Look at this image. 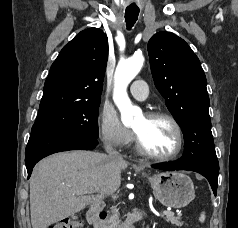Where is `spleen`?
I'll use <instances>...</instances> for the list:
<instances>
[{"instance_id": "1", "label": "spleen", "mask_w": 238, "mask_h": 228, "mask_svg": "<svg viewBox=\"0 0 238 228\" xmlns=\"http://www.w3.org/2000/svg\"><path fill=\"white\" fill-rule=\"evenodd\" d=\"M205 218H206L205 212H202V213L200 214L199 221H200L201 223H203V222L205 221Z\"/></svg>"}]
</instances>
